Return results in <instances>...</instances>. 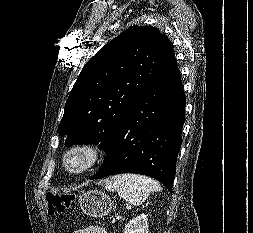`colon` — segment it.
Returning a JSON list of instances; mask_svg holds the SVG:
<instances>
[{
  "instance_id": "colon-1",
  "label": "colon",
  "mask_w": 253,
  "mask_h": 233,
  "mask_svg": "<svg viewBox=\"0 0 253 233\" xmlns=\"http://www.w3.org/2000/svg\"><path fill=\"white\" fill-rule=\"evenodd\" d=\"M75 200L72 193H48L47 206L50 215H59L68 210Z\"/></svg>"
}]
</instances>
